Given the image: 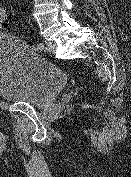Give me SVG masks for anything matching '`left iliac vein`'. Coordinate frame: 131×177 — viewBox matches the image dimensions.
<instances>
[{"instance_id":"4c4485c4","label":"left iliac vein","mask_w":131,"mask_h":177,"mask_svg":"<svg viewBox=\"0 0 131 177\" xmlns=\"http://www.w3.org/2000/svg\"><path fill=\"white\" fill-rule=\"evenodd\" d=\"M56 49V44L51 41H45V50L48 52H54Z\"/></svg>"}]
</instances>
